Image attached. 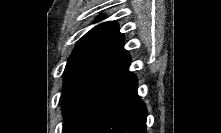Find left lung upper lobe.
Returning a JSON list of instances; mask_svg holds the SVG:
<instances>
[{
    "mask_svg": "<svg viewBox=\"0 0 221 133\" xmlns=\"http://www.w3.org/2000/svg\"><path fill=\"white\" fill-rule=\"evenodd\" d=\"M123 46L124 36L114 21L94 27L77 42L63 74L64 116L92 81L128 55Z\"/></svg>",
    "mask_w": 221,
    "mask_h": 133,
    "instance_id": "1",
    "label": "left lung upper lobe"
}]
</instances>
